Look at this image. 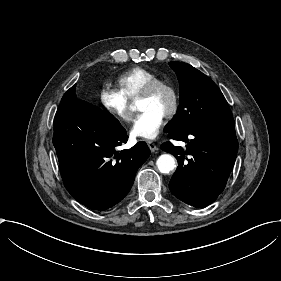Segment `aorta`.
<instances>
[{
    "label": "aorta",
    "instance_id": "762f6f07",
    "mask_svg": "<svg viewBox=\"0 0 281 281\" xmlns=\"http://www.w3.org/2000/svg\"><path fill=\"white\" fill-rule=\"evenodd\" d=\"M158 170L163 174H168L176 167V160L170 154H162L156 161Z\"/></svg>",
    "mask_w": 281,
    "mask_h": 281
}]
</instances>
